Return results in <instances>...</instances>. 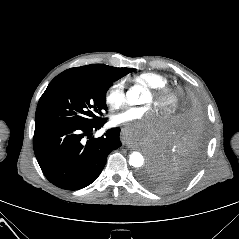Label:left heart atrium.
Returning a JSON list of instances; mask_svg holds the SVG:
<instances>
[{
  "mask_svg": "<svg viewBox=\"0 0 239 239\" xmlns=\"http://www.w3.org/2000/svg\"><path fill=\"white\" fill-rule=\"evenodd\" d=\"M133 121H138L137 127L128 126L129 139L133 142L138 140L142 133H152L157 124L155 112L149 107H130L112 116L115 125H129Z\"/></svg>",
  "mask_w": 239,
  "mask_h": 239,
  "instance_id": "obj_1",
  "label": "left heart atrium"
}]
</instances>
